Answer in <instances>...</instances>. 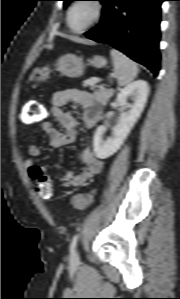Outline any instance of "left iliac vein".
I'll list each match as a JSON object with an SVG mask.
<instances>
[{"label": "left iliac vein", "mask_w": 180, "mask_h": 299, "mask_svg": "<svg viewBox=\"0 0 180 299\" xmlns=\"http://www.w3.org/2000/svg\"><path fill=\"white\" fill-rule=\"evenodd\" d=\"M71 262L74 263V264H77L79 263V254H78V251L77 250H74L71 254Z\"/></svg>", "instance_id": "1"}]
</instances>
